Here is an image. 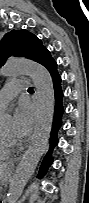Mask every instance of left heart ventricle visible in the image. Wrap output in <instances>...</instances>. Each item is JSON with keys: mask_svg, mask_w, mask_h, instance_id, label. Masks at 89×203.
Here are the masks:
<instances>
[{"mask_svg": "<svg viewBox=\"0 0 89 203\" xmlns=\"http://www.w3.org/2000/svg\"><path fill=\"white\" fill-rule=\"evenodd\" d=\"M4 136L7 137V138H13L14 137V131H13V129L12 128L7 129L4 132Z\"/></svg>", "mask_w": 89, "mask_h": 203, "instance_id": "left-heart-ventricle-1", "label": "left heart ventricle"}]
</instances>
